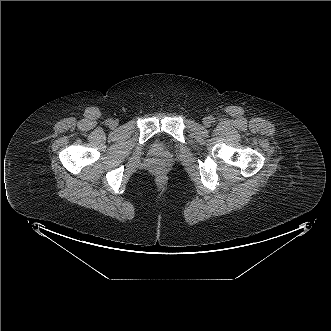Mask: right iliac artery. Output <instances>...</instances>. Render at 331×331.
<instances>
[{
  "mask_svg": "<svg viewBox=\"0 0 331 331\" xmlns=\"http://www.w3.org/2000/svg\"><path fill=\"white\" fill-rule=\"evenodd\" d=\"M107 122H108L109 124H111V123H112V120H111V119H109Z\"/></svg>",
  "mask_w": 331,
  "mask_h": 331,
  "instance_id": "obj_1",
  "label": "right iliac artery"
}]
</instances>
